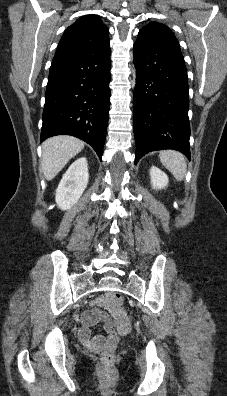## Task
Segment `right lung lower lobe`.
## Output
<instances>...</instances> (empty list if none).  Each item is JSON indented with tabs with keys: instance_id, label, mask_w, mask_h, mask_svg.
<instances>
[{
	"instance_id": "right-lung-lower-lobe-1",
	"label": "right lung lower lobe",
	"mask_w": 227,
	"mask_h": 396,
	"mask_svg": "<svg viewBox=\"0 0 227 396\" xmlns=\"http://www.w3.org/2000/svg\"><path fill=\"white\" fill-rule=\"evenodd\" d=\"M110 55L109 41L53 58L41 142L55 135L75 136L90 144L102 160L110 107Z\"/></svg>"
}]
</instances>
